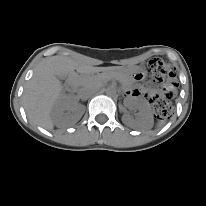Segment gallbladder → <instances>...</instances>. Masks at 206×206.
<instances>
[{
	"instance_id": "obj_1",
	"label": "gallbladder",
	"mask_w": 206,
	"mask_h": 206,
	"mask_svg": "<svg viewBox=\"0 0 206 206\" xmlns=\"http://www.w3.org/2000/svg\"><path fill=\"white\" fill-rule=\"evenodd\" d=\"M68 74L69 73H67V74H60L59 76H57L58 77V79L62 82V81H64L66 78H67V76H68Z\"/></svg>"
}]
</instances>
